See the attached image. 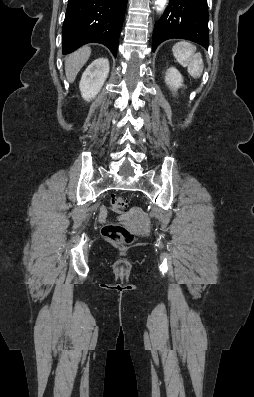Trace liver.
Returning <instances> with one entry per match:
<instances>
[{
	"mask_svg": "<svg viewBox=\"0 0 254 397\" xmlns=\"http://www.w3.org/2000/svg\"><path fill=\"white\" fill-rule=\"evenodd\" d=\"M90 55H91L90 47L85 46L66 57L65 72L67 79L70 83L74 82L78 72L88 61Z\"/></svg>",
	"mask_w": 254,
	"mask_h": 397,
	"instance_id": "6515ba94",
	"label": "liver"
}]
</instances>
